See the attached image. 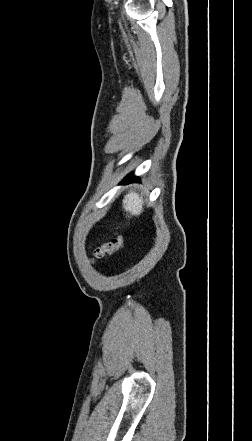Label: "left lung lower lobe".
<instances>
[{
  "mask_svg": "<svg viewBox=\"0 0 252 441\" xmlns=\"http://www.w3.org/2000/svg\"><path fill=\"white\" fill-rule=\"evenodd\" d=\"M131 174H132V173H131ZM131 174L128 175L123 181H126L127 179H129L128 182H131V181H134V180L137 179L136 177L132 178V177H131Z\"/></svg>",
  "mask_w": 252,
  "mask_h": 441,
  "instance_id": "0a47b994",
  "label": "left lung lower lobe"
}]
</instances>
